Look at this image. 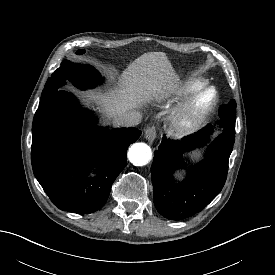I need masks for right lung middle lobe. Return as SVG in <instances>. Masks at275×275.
Listing matches in <instances>:
<instances>
[{"label":"right lung middle lobe","mask_w":275,"mask_h":275,"mask_svg":"<svg viewBox=\"0 0 275 275\" xmlns=\"http://www.w3.org/2000/svg\"><path fill=\"white\" fill-rule=\"evenodd\" d=\"M66 80L71 81L73 85L81 89L92 88L102 81L99 72L93 67L64 60L46 82L42 91L40 106L52 98Z\"/></svg>","instance_id":"1"}]
</instances>
